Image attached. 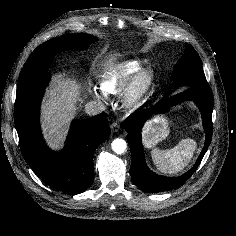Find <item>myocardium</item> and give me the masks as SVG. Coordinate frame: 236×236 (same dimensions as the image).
Instances as JSON below:
<instances>
[{"label":"myocardium","instance_id":"obj_1","mask_svg":"<svg viewBox=\"0 0 236 236\" xmlns=\"http://www.w3.org/2000/svg\"><path fill=\"white\" fill-rule=\"evenodd\" d=\"M156 71L152 67L141 68L132 78L124 96L123 102L127 108L140 106L147 98L156 82Z\"/></svg>","mask_w":236,"mask_h":236}]
</instances>
